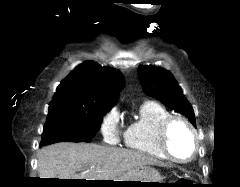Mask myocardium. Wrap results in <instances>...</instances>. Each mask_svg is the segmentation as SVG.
Returning <instances> with one entry per match:
<instances>
[{
  "mask_svg": "<svg viewBox=\"0 0 240 187\" xmlns=\"http://www.w3.org/2000/svg\"><path fill=\"white\" fill-rule=\"evenodd\" d=\"M177 123L184 125L189 130L193 141V151L191 155L185 159H180L176 157L169 147L170 132L173 126L176 125ZM159 145L163 153L170 160L180 164L188 163L194 160L197 157L200 149V142L196 128L188 119L178 115H171L161 124L159 129Z\"/></svg>",
  "mask_w": 240,
  "mask_h": 187,
  "instance_id": "myocardium-1",
  "label": "myocardium"
}]
</instances>
